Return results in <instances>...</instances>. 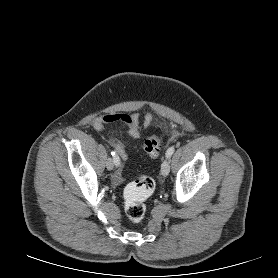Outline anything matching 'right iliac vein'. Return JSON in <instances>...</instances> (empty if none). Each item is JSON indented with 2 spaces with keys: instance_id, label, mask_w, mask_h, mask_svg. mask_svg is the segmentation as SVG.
Wrapping results in <instances>:
<instances>
[{
  "instance_id": "63e3f726",
  "label": "right iliac vein",
  "mask_w": 278,
  "mask_h": 278,
  "mask_svg": "<svg viewBox=\"0 0 278 278\" xmlns=\"http://www.w3.org/2000/svg\"><path fill=\"white\" fill-rule=\"evenodd\" d=\"M106 167L108 170H112L114 168V162L112 161L111 158H109L106 162Z\"/></svg>"
}]
</instances>
